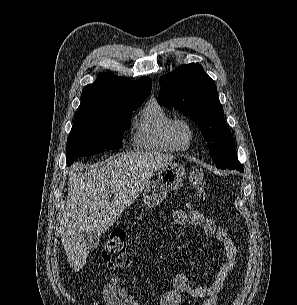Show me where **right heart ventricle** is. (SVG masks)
Segmentation results:
<instances>
[{
    "instance_id": "right-heart-ventricle-1",
    "label": "right heart ventricle",
    "mask_w": 297,
    "mask_h": 305,
    "mask_svg": "<svg viewBox=\"0 0 297 305\" xmlns=\"http://www.w3.org/2000/svg\"><path fill=\"white\" fill-rule=\"evenodd\" d=\"M174 119L175 117L157 101L147 103L135 124V147L141 150L178 151L169 131Z\"/></svg>"
}]
</instances>
